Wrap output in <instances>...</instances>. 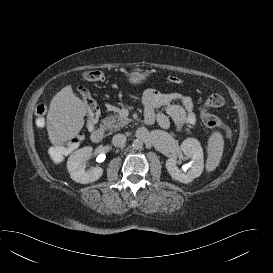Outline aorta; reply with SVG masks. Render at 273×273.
I'll list each match as a JSON object with an SVG mask.
<instances>
[{"label": "aorta", "mask_w": 273, "mask_h": 273, "mask_svg": "<svg viewBox=\"0 0 273 273\" xmlns=\"http://www.w3.org/2000/svg\"><path fill=\"white\" fill-rule=\"evenodd\" d=\"M134 149H140L143 147V142L140 139H135L132 143Z\"/></svg>", "instance_id": "aorta-1"}]
</instances>
